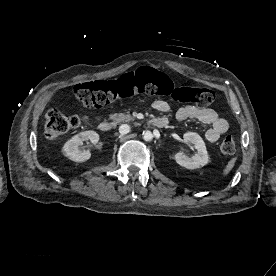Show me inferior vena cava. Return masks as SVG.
<instances>
[{
  "label": "inferior vena cava",
  "mask_w": 276,
  "mask_h": 276,
  "mask_svg": "<svg viewBox=\"0 0 276 276\" xmlns=\"http://www.w3.org/2000/svg\"><path fill=\"white\" fill-rule=\"evenodd\" d=\"M129 131H130V126L127 125V124H122V125L119 127V132H120L121 134H123V135L129 133Z\"/></svg>",
  "instance_id": "1"
}]
</instances>
